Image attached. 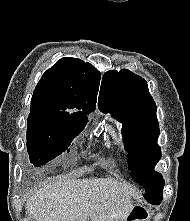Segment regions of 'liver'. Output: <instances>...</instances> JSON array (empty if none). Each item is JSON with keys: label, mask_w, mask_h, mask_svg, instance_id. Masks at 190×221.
Instances as JSON below:
<instances>
[{"label": "liver", "mask_w": 190, "mask_h": 221, "mask_svg": "<svg viewBox=\"0 0 190 221\" xmlns=\"http://www.w3.org/2000/svg\"><path fill=\"white\" fill-rule=\"evenodd\" d=\"M134 196V188L113 178H55L36 189L25 207L35 221H123Z\"/></svg>", "instance_id": "liver-1"}]
</instances>
